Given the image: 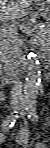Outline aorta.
Returning <instances> with one entry per match:
<instances>
[{
    "instance_id": "1",
    "label": "aorta",
    "mask_w": 50,
    "mask_h": 148,
    "mask_svg": "<svg viewBox=\"0 0 50 148\" xmlns=\"http://www.w3.org/2000/svg\"><path fill=\"white\" fill-rule=\"evenodd\" d=\"M28 67L26 84L24 86V93L22 96L23 104H31L36 101L38 89L41 82V72L39 61L35 53L30 52L27 55Z\"/></svg>"
}]
</instances>
